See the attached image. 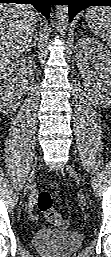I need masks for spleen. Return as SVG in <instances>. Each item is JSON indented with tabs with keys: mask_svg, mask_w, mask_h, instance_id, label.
<instances>
[{
	"mask_svg": "<svg viewBox=\"0 0 111 257\" xmlns=\"http://www.w3.org/2000/svg\"><path fill=\"white\" fill-rule=\"evenodd\" d=\"M85 17L93 33L111 47V7H92Z\"/></svg>",
	"mask_w": 111,
	"mask_h": 257,
	"instance_id": "3e777b00",
	"label": "spleen"
}]
</instances>
